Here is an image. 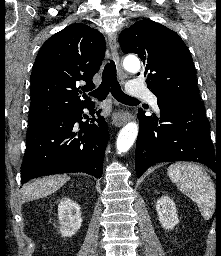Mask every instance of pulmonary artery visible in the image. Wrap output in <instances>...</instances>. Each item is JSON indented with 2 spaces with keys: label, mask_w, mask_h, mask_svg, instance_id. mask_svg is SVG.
I'll use <instances>...</instances> for the list:
<instances>
[{
  "label": "pulmonary artery",
  "mask_w": 221,
  "mask_h": 256,
  "mask_svg": "<svg viewBox=\"0 0 221 256\" xmlns=\"http://www.w3.org/2000/svg\"><path fill=\"white\" fill-rule=\"evenodd\" d=\"M127 89L131 96L146 98L154 109L159 110L157 97L142 82L133 80L129 82Z\"/></svg>",
  "instance_id": "obj_1"
}]
</instances>
